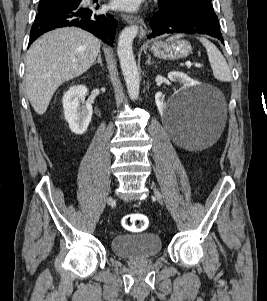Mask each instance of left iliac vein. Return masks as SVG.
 <instances>
[{"label":"left iliac vein","mask_w":267,"mask_h":301,"mask_svg":"<svg viewBox=\"0 0 267 301\" xmlns=\"http://www.w3.org/2000/svg\"><path fill=\"white\" fill-rule=\"evenodd\" d=\"M154 194L157 198V200L159 201V203H161L162 205L164 204V198L163 195L160 193V191L154 186V184H151Z\"/></svg>","instance_id":"1"}]
</instances>
